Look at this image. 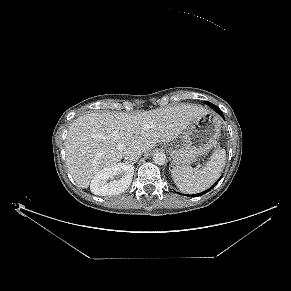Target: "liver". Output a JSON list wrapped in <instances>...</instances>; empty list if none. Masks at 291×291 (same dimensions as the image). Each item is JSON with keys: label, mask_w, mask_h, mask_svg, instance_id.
Listing matches in <instances>:
<instances>
[{"label": "liver", "mask_w": 291, "mask_h": 291, "mask_svg": "<svg viewBox=\"0 0 291 291\" xmlns=\"http://www.w3.org/2000/svg\"><path fill=\"white\" fill-rule=\"evenodd\" d=\"M208 113L200 105L179 104L134 114L80 116L70 125L65 141L67 169L79 187L88 188L98 172L121 161L126 148L136 146L142 153L149 152L157 143L175 140Z\"/></svg>", "instance_id": "liver-1"}]
</instances>
